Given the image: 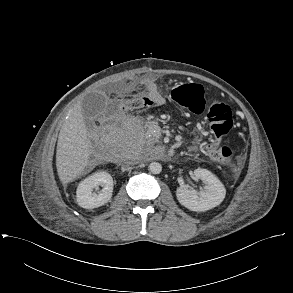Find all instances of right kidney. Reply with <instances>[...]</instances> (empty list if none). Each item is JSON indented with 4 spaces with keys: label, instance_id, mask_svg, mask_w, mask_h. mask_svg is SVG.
I'll list each match as a JSON object with an SVG mask.
<instances>
[{
    "label": "right kidney",
    "instance_id": "obj_1",
    "mask_svg": "<svg viewBox=\"0 0 293 293\" xmlns=\"http://www.w3.org/2000/svg\"><path fill=\"white\" fill-rule=\"evenodd\" d=\"M98 186H102V190L99 193L93 192ZM112 192V176L105 171L96 172L79 183L76 191L77 203L85 209L97 208L110 201Z\"/></svg>",
    "mask_w": 293,
    "mask_h": 293
}]
</instances>
